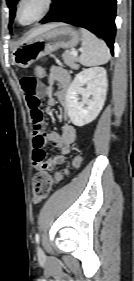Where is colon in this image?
Wrapping results in <instances>:
<instances>
[{
    "label": "colon",
    "instance_id": "1",
    "mask_svg": "<svg viewBox=\"0 0 134 281\" xmlns=\"http://www.w3.org/2000/svg\"><path fill=\"white\" fill-rule=\"evenodd\" d=\"M47 76V70L44 66H37L35 68V77L39 80ZM81 159L77 155L72 161V167L77 168L80 165ZM67 173V171H64ZM63 173L55 172L49 174L46 171L38 172L33 178V201L34 203H40L50 194L54 184L62 179Z\"/></svg>",
    "mask_w": 134,
    "mask_h": 281
}]
</instances>
